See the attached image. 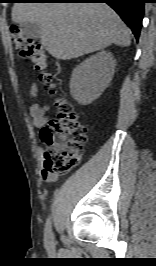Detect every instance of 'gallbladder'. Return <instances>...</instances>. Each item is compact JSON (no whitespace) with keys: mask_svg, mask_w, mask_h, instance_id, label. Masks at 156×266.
<instances>
[{"mask_svg":"<svg viewBox=\"0 0 156 266\" xmlns=\"http://www.w3.org/2000/svg\"><path fill=\"white\" fill-rule=\"evenodd\" d=\"M23 34L32 39H39L41 36V28L37 23L27 22L21 25Z\"/></svg>","mask_w":156,"mask_h":266,"instance_id":"bac80fb5","label":"gallbladder"}]
</instances>
